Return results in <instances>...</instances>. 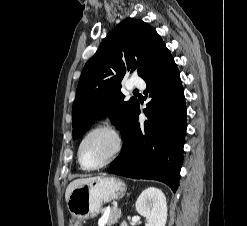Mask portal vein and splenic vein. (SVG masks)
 Listing matches in <instances>:
<instances>
[{"label":"portal vein and splenic vein","instance_id":"1","mask_svg":"<svg viewBox=\"0 0 247 226\" xmlns=\"http://www.w3.org/2000/svg\"><path fill=\"white\" fill-rule=\"evenodd\" d=\"M107 212H110V208H107Z\"/></svg>","mask_w":247,"mask_h":226}]
</instances>
